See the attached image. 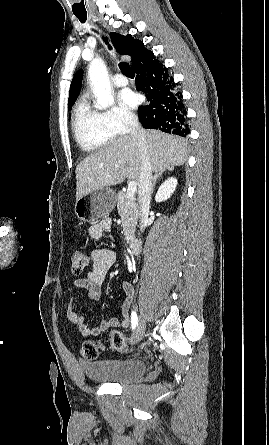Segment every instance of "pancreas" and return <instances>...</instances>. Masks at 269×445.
Listing matches in <instances>:
<instances>
[{
    "instance_id": "cf45deb5",
    "label": "pancreas",
    "mask_w": 269,
    "mask_h": 445,
    "mask_svg": "<svg viewBox=\"0 0 269 445\" xmlns=\"http://www.w3.org/2000/svg\"><path fill=\"white\" fill-rule=\"evenodd\" d=\"M117 209L121 216L125 240H134L135 228L139 217V207L134 197L129 198L126 192H119L117 196Z\"/></svg>"
}]
</instances>
